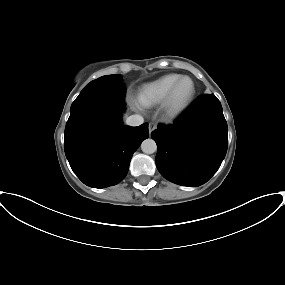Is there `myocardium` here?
<instances>
[{
    "label": "myocardium",
    "mask_w": 285,
    "mask_h": 285,
    "mask_svg": "<svg viewBox=\"0 0 285 285\" xmlns=\"http://www.w3.org/2000/svg\"><path fill=\"white\" fill-rule=\"evenodd\" d=\"M184 80H190L192 83V91L189 97L182 103H177L175 100L177 90ZM196 84L195 81L189 76H182L177 82L173 85L166 98L162 103V109L164 114L169 118H176L183 114L194 102L196 97Z\"/></svg>",
    "instance_id": "myocardium-1"
}]
</instances>
